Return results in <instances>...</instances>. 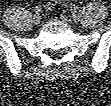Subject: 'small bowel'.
<instances>
[{"label":"small bowel","instance_id":"obj_1","mask_svg":"<svg viewBox=\"0 0 111 106\" xmlns=\"http://www.w3.org/2000/svg\"><path fill=\"white\" fill-rule=\"evenodd\" d=\"M60 3V0H51L48 2L46 9L47 10H52L57 4Z\"/></svg>","mask_w":111,"mask_h":106}]
</instances>
